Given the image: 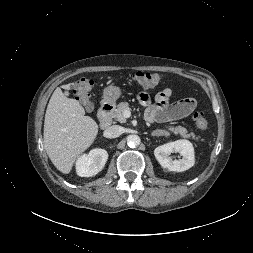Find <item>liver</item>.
<instances>
[{"label": "liver", "instance_id": "liver-1", "mask_svg": "<svg viewBox=\"0 0 253 253\" xmlns=\"http://www.w3.org/2000/svg\"><path fill=\"white\" fill-rule=\"evenodd\" d=\"M74 83L57 87L53 92L44 120V147L54 166L62 173H70L76 159L87 150L98 134V124L75 99L61 90H69Z\"/></svg>", "mask_w": 253, "mask_h": 253}]
</instances>
